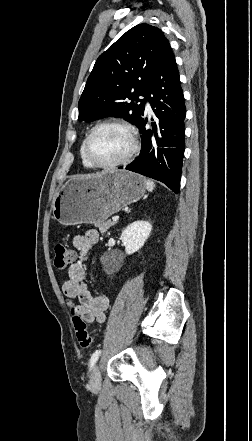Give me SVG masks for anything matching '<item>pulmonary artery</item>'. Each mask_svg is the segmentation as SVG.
I'll return each mask as SVG.
<instances>
[{
  "label": "pulmonary artery",
  "instance_id": "1",
  "mask_svg": "<svg viewBox=\"0 0 252 441\" xmlns=\"http://www.w3.org/2000/svg\"><path fill=\"white\" fill-rule=\"evenodd\" d=\"M146 109H147L148 111H151V106H150V104H149L148 101H146Z\"/></svg>",
  "mask_w": 252,
  "mask_h": 441
}]
</instances>
